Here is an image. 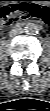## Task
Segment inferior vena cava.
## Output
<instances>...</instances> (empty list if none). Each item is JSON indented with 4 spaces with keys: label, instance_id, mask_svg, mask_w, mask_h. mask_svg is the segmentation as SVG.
I'll list each match as a JSON object with an SVG mask.
<instances>
[{
    "label": "inferior vena cava",
    "instance_id": "1",
    "mask_svg": "<svg viewBox=\"0 0 50 111\" xmlns=\"http://www.w3.org/2000/svg\"><path fill=\"white\" fill-rule=\"evenodd\" d=\"M9 33L11 36H16V35L23 33V29L20 27H15V28L11 29V31Z\"/></svg>",
    "mask_w": 50,
    "mask_h": 111
}]
</instances>
